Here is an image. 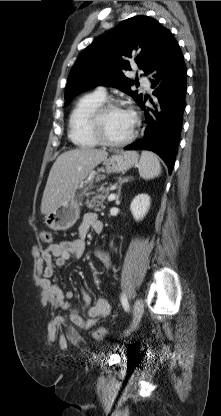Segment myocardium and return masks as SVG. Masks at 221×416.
Segmentation results:
<instances>
[{"instance_id": "f54148a6", "label": "myocardium", "mask_w": 221, "mask_h": 416, "mask_svg": "<svg viewBox=\"0 0 221 416\" xmlns=\"http://www.w3.org/2000/svg\"><path fill=\"white\" fill-rule=\"evenodd\" d=\"M114 108H121L129 111L133 116V126L130 134L123 140L120 141H112L110 140L103 129V117L105 113ZM139 117L138 115L132 111L127 109L120 101L118 100H105L102 102L96 109L93 111L90 122L89 128L92 135L97 139V141L105 146L118 148L129 144L136 136L137 130L139 127Z\"/></svg>"}]
</instances>
